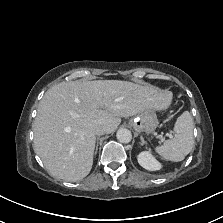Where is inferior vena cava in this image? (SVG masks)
I'll return each instance as SVG.
<instances>
[{
  "label": "inferior vena cava",
  "instance_id": "1",
  "mask_svg": "<svg viewBox=\"0 0 223 223\" xmlns=\"http://www.w3.org/2000/svg\"><path fill=\"white\" fill-rule=\"evenodd\" d=\"M95 135H103L106 133V127L104 125H95L93 128Z\"/></svg>",
  "mask_w": 223,
  "mask_h": 223
}]
</instances>
